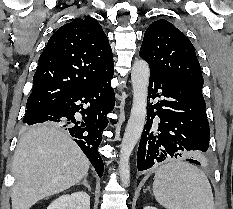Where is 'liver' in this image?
Returning <instances> with one entry per match:
<instances>
[{
  "label": "liver",
  "instance_id": "obj_1",
  "mask_svg": "<svg viewBox=\"0 0 233 209\" xmlns=\"http://www.w3.org/2000/svg\"><path fill=\"white\" fill-rule=\"evenodd\" d=\"M90 162L68 132L50 123L24 133L12 163V209H30L43 198L63 192L88 173Z\"/></svg>",
  "mask_w": 233,
  "mask_h": 209
}]
</instances>
